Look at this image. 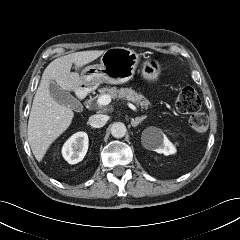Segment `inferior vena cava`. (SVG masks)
I'll return each mask as SVG.
<instances>
[{
  "instance_id": "602c4592",
  "label": "inferior vena cava",
  "mask_w": 240,
  "mask_h": 240,
  "mask_svg": "<svg viewBox=\"0 0 240 240\" xmlns=\"http://www.w3.org/2000/svg\"><path fill=\"white\" fill-rule=\"evenodd\" d=\"M108 120L106 115L96 114L89 117V124L94 128L103 127Z\"/></svg>"
}]
</instances>
